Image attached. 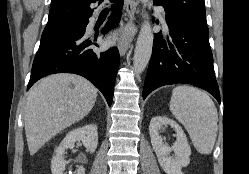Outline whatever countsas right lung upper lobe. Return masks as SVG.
<instances>
[{
	"label": "right lung upper lobe",
	"instance_id": "1",
	"mask_svg": "<svg viewBox=\"0 0 249 174\" xmlns=\"http://www.w3.org/2000/svg\"><path fill=\"white\" fill-rule=\"evenodd\" d=\"M96 1L99 0H51V8L46 27L70 21L88 19L93 13L90 4Z\"/></svg>",
	"mask_w": 249,
	"mask_h": 174
}]
</instances>
